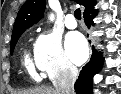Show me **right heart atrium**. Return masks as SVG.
Here are the masks:
<instances>
[{
  "instance_id": "obj_1",
  "label": "right heart atrium",
  "mask_w": 121,
  "mask_h": 94,
  "mask_svg": "<svg viewBox=\"0 0 121 94\" xmlns=\"http://www.w3.org/2000/svg\"><path fill=\"white\" fill-rule=\"evenodd\" d=\"M33 52L37 68L50 79L70 78L77 72L62 48L60 37L51 31L39 34Z\"/></svg>"
}]
</instances>
